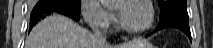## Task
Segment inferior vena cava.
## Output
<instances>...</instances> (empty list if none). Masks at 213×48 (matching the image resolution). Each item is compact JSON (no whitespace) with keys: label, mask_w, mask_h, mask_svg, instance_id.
Wrapping results in <instances>:
<instances>
[{"label":"inferior vena cava","mask_w":213,"mask_h":48,"mask_svg":"<svg viewBox=\"0 0 213 48\" xmlns=\"http://www.w3.org/2000/svg\"><path fill=\"white\" fill-rule=\"evenodd\" d=\"M94 32V38L101 44H106V36L103 35V33L97 28L95 27L93 29Z\"/></svg>","instance_id":"obj_1"}]
</instances>
